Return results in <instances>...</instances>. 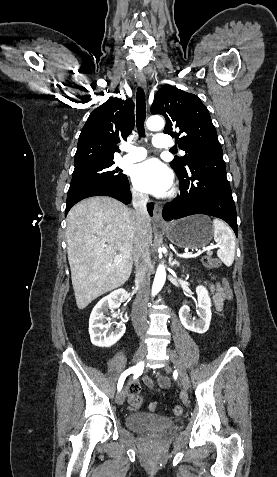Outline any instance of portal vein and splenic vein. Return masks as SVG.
Returning <instances> with one entry per match:
<instances>
[{"instance_id":"obj_1","label":"portal vein and splenic vein","mask_w":277,"mask_h":477,"mask_svg":"<svg viewBox=\"0 0 277 477\" xmlns=\"http://www.w3.org/2000/svg\"><path fill=\"white\" fill-rule=\"evenodd\" d=\"M214 246H208L206 248H203L202 251H199L197 254H188V253H182V254H177L178 257L181 258H195L199 256L202 252H207L208 254H211V250L214 249ZM121 257L120 254L115 253V258L119 259Z\"/></svg>"}]
</instances>
